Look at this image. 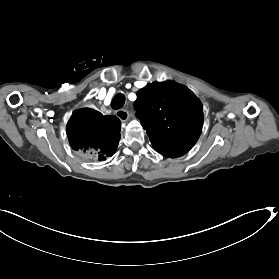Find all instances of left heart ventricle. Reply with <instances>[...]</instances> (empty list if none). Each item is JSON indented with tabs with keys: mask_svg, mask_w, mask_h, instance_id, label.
<instances>
[{
	"mask_svg": "<svg viewBox=\"0 0 279 279\" xmlns=\"http://www.w3.org/2000/svg\"><path fill=\"white\" fill-rule=\"evenodd\" d=\"M103 83H111L116 77V68H106L97 74Z\"/></svg>",
	"mask_w": 279,
	"mask_h": 279,
	"instance_id": "left-heart-ventricle-1",
	"label": "left heart ventricle"
}]
</instances>
